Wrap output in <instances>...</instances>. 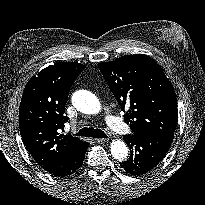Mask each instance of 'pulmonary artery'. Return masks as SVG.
I'll return each mask as SVG.
<instances>
[{
  "label": "pulmonary artery",
  "mask_w": 205,
  "mask_h": 205,
  "mask_svg": "<svg viewBox=\"0 0 205 205\" xmlns=\"http://www.w3.org/2000/svg\"><path fill=\"white\" fill-rule=\"evenodd\" d=\"M106 121L110 128L114 130L116 133L121 134L126 130V125L117 118L108 116L106 117Z\"/></svg>",
  "instance_id": "pulmonary-artery-1"
}]
</instances>
